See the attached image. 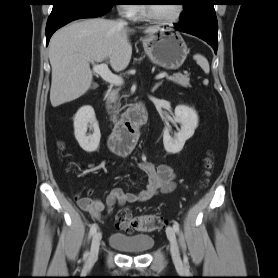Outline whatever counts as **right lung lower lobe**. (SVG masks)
I'll return each instance as SVG.
<instances>
[{
	"label": "right lung lower lobe",
	"mask_w": 278,
	"mask_h": 278,
	"mask_svg": "<svg viewBox=\"0 0 278 278\" xmlns=\"http://www.w3.org/2000/svg\"><path fill=\"white\" fill-rule=\"evenodd\" d=\"M109 10L76 3H68L52 10L46 25L47 44L52 34L67 23L82 18L100 17Z\"/></svg>",
	"instance_id": "right-lung-lower-lobe-1"
}]
</instances>
